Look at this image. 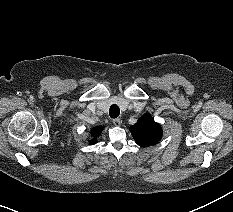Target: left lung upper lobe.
<instances>
[{
    "mask_svg": "<svg viewBox=\"0 0 233 212\" xmlns=\"http://www.w3.org/2000/svg\"><path fill=\"white\" fill-rule=\"evenodd\" d=\"M130 132L135 142L142 147L155 145L162 138L161 126L154 122L149 113L140 117L138 122L130 127Z\"/></svg>",
    "mask_w": 233,
    "mask_h": 212,
    "instance_id": "1",
    "label": "left lung upper lobe"
}]
</instances>
